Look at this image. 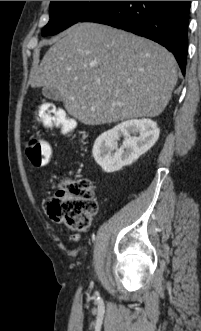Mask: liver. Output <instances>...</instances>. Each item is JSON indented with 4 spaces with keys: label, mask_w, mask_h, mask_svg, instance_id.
<instances>
[{
    "label": "liver",
    "mask_w": 201,
    "mask_h": 331,
    "mask_svg": "<svg viewBox=\"0 0 201 331\" xmlns=\"http://www.w3.org/2000/svg\"><path fill=\"white\" fill-rule=\"evenodd\" d=\"M30 85L56 87L67 112L87 125L160 115L177 83L163 46L96 23L67 29L31 73Z\"/></svg>",
    "instance_id": "6515ba94"
}]
</instances>
